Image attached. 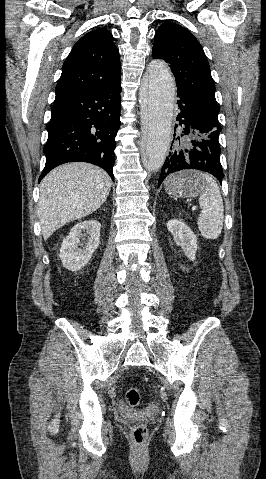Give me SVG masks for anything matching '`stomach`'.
<instances>
[{"instance_id":"1","label":"stomach","mask_w":266,"mask_h":479,"mask_svg":"<svg viewBox=\"0 0 266 479\" xmlns=\"http://www.w3.org/2000/svg\"><path fill=\"white\" fill-rule=\"evenodd\" d=\"M204 187L205 180L194 170L173 174L165 183L166 192L174 197L192 198L201 194Z\"/></svg>"}]
</instances>
